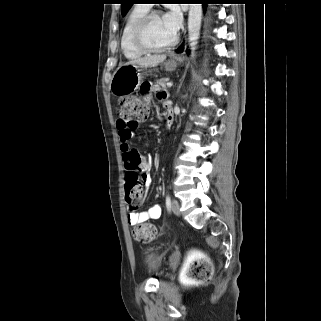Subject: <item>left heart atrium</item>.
I'll use <instances>...</instances> for the list:
<instances>
[{
	"label": "left heart atrium",
	"mask_w": 321,
	"mask_h": 321,
	"mask_svg": "<svg viewBox=\"0 0 321 321\" xmlns=\"http://www.w3.org/2000/svg\"><path fill=\"white\" fill-rule=\"evenodd\" d=\"M163 20L174 33H176L181 26V14L177 8H172L164 14Z\"/></svg>",
	"instance_id": "1"
}]
</instances>
